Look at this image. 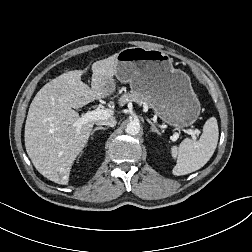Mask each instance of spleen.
Masks as SVG:
<instances>
[{"label": "spleen", "instance_id": "3e777b00", "mask_svg": "<svg viewBox=\"0 0 252 252\" xmlns=\"http://www.w3.org/2000/svg\"><path fill=\"white\" fill-rule=\"evenodd\" d=\"M218 123L215 117L209 118L198 141L184 139L180 145L171 148L177 164L172 173L176 176L192 173L203 167L212 157L218 143Z\"/></svg>", "mask_w": 252, "mask_h": 252}]
</instances>
